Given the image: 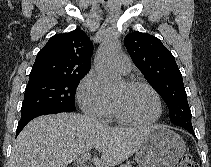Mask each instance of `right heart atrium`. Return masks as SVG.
<instances>
[{"label":"right heart atrium","instance_id":"1","mask_svg":"<svg viewBox=\"0 0 211 167\" xmlns=\"http://www.w3.org/2000/svg\"><path fill=\"white\" fill-rule=\"evenodd\" d=\"M77 98L86 114L103 121L109 119L112 111L111 101L95 74L89 73L81 80L77 89Z\"/></svg>","mask_w":211,"mask_h":167}]
</instances>
